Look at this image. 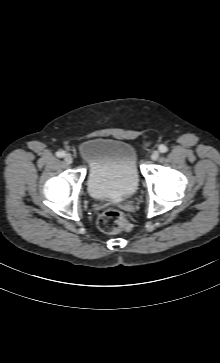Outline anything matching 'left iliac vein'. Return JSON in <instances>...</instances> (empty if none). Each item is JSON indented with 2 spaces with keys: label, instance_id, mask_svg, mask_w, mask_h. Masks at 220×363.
I'll list each match as a JSON object with an SVG mask.
<instances>
[{
  "label": "left iliac vein",
  "instance_id": "obj_1",
  "mask_svg": "<svg viewBox=\"0 0 220 363\" xmlns=\"http://www.w3.org/2000/svg\"><path fill=\"white\" fill-rule=\"evenodd\" d=\"M159 156H160L159 151H158V150H155V151H153V152H152V154H151V159H152V160H157V159L159 158Z\"/></svg>",
  "mask_w": 220,
  "mask_h": 363
}]
</instances>
